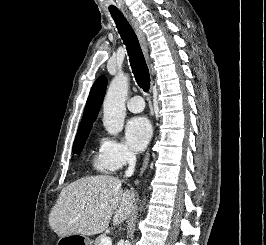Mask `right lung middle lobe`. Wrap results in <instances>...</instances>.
Segmentation results:
<instances>
[{"label":"right lung middle lobe","instance_id":"dd1d6c3e","mask_svg":"<svg viewBox=\"0 0 266 245\" xmlns=\"http://www.w3.org/2000/svg\"><path fill=\"white\" fill-rule=\"evenodd\" d=\"M91 128L92 123L81 125L78 127V133L73 144V153L80 154L85 145L86 139L90 133Z\"/></svg>","mask_w":266,"mask_h":245}]
</instances>
